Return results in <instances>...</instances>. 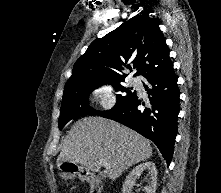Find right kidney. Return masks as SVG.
Here are the masks:
<instances>
[{
  "label": "right kidney",
  "instance_id": "1",
  "mask_svg": "<svg viewBox=\"0 0 221 193\" xmlns=\"http://www.w3.org/2000/svg\"><path fill=\"white\" fill-rule=\"evenodd\" d=\"M147 170L150 176L148 180V184L144 187L145 193H155L157 186V170L156 166L153 162L148 161L136 166L130 174L127 176L123 188L122 193H132V188L135 185L136 179L143 173V171Z\"/></svg>",
  "mask_w": 221,
  "mask_h": 193
}]
</instances>
